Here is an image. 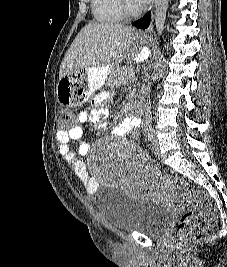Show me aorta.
Here are the masks:
<instances>
[{"mask_svg":"<svg viewBox=\"0 0 227 267\" xmlns=\"http://www.w3.org/2000/svg\"><path fill=\"white\" fill-rule=\"evenodd\" d=\"M168 1L169 0H154V24L157 34L159 36L162 35L165 27ZM151 77L153 81H155L158 78L157 69L154 70ZM151 122H152V112H151V101L149 100L145 112V123L147 126H150Z\"/></svg>","mask_w":227,"mask_h":267,"instance_id":"1","label":"aorta"}]
</instances>
